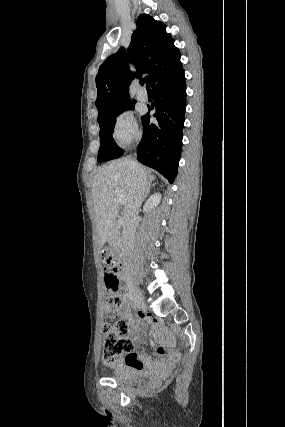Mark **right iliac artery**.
Wrapping results in <instances>:
<instances>
[{"instance_id":"right-iliac-artery-1","label":"right iliac artery","mask_w":285,"mask_h":427,"mask_svg":"<svg viewBox=\"0 0 285 427\" xmlns=\"http://www.w3.org/2000/svg\"><path fill=\"white\" fill-rule=\"evenodd\" d=\"M125 297L128 301H130V303L134 302V298L131 293L126 292Z\"/></svg>"}]
</instances>
